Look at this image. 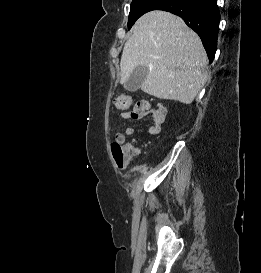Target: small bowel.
Here are the masks:
<instances>
[{
	"instance_id": "small-bowel-1",
	"label": "small bowel",
	"mask_w": 261,
	"mask_h": 273,
	"mask_svg": "<svg viewBox=\"0 0 261 273\" xmlns=\"http://www.w3.org/2000/svg\"><path fill=\"white\" fill-rule=\"evenodd\" d=\"M144 104V116L149 112L151 117H152V125L149 127L148 132L152 135H155L159 133L161 129V125L164 122L165 119V114L166 110L163 106L161 105H156L154 107H151L150 103L146 101H142ZM124 110L122 112V117L124 119L130 120L131 118V111H128L127 109H122ZM143 116V117H144ZM142 118V117H141ZM134 133V129L132 127H127L124 130V135L125 136H131ZM129 149V159H133L134 157L140 155V149L136 146L129 145L127 146Z\"/></svg>"
}]
</instances>
